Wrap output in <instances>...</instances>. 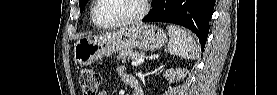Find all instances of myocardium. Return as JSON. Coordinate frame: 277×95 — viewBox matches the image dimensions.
<instances>
[{
    "label": "myocardium",
    "mask_w": 277,
    "mask_h": 95,
    "mask_svg": "<svg viewBox=\"0 0 277 95\" xmlns=\"http://www.w3.org/2000/svg\"><path fill=\"white\" fill-rule=\"evenodd\" d=\"M139 1L141 3V10L136 16L127 18V19L117 20L111 23H105L100 21L96 17V8L101 2V0H96L94 5L91 8V18L96 25L102 28H114V27H121V26L135 24L139 22L141 19H143L148 12V0H139Z\"/></svg>",
    "instance_id": "myocardium-1"
}]
</instances>
